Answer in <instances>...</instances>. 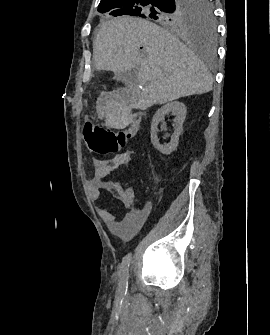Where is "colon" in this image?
<instances>
[{
  "mask_svg": "<svg viewBox=\"0 0 270 335\" xmlns=\"http://www.w3.org/2000/svg\"><path fill=\"white\" fill-rule=\"evenodd\" d=\"M85 140L90 152L95 156L114 154L133 138L135 133L132 128L110 131L88 122L85 126Z\"/></svg>",
  "mask_w": 270,
  "mask_h": 335,
  "instance_id": "1",
  "label": "colon"
}]
</instances>
